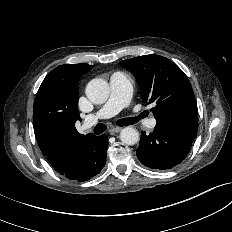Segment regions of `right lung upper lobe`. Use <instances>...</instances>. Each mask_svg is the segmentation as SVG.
<instances>
[{
  "mask_svg": "<svg viewBox=\"0 0 232 232\" xmlns=\"http://www.w3.org/2000/svg\"><path fill=\"white\" fill-rule=\"evenodd\" d=\"M87 64H65L56 67L43 80L33 112L34 132L42 153L58 171L67 168L74 147L93 134H80L75 123L78 112V84L82 75L92 69Z\"/></svg>",
  "mask_w": 232,
  "mask_h": 232,
  "instance_id": "right-lung-upper-lobe-1",
  "label": "right lung upper lobe"
}]
</instances>
